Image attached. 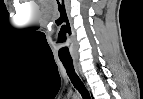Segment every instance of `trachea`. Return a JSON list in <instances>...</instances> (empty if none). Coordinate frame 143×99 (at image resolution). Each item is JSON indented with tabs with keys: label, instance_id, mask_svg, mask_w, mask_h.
Masks as SVG:
<instances>
[{
	"label": "trachea",
	"instance_id": "1",
	"mask_svg": "<svg viewBox=\"0 0 143 99\" xmlns=\"http://www.w3.org/2000/svg\"><path fill=\"white\" fill-rule=\"evenodd\" d=\"M61 61L67 71L68 76L71 79V82L73 83L74 87L79 91V93L82 95L83 99H90V95L86 90L83 82L80 80V78L74 71L72 60H61Z\"/></svg>",
	"mask_w": 143,
	"mask_h": 99
}]
</instances>
